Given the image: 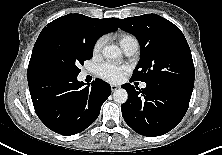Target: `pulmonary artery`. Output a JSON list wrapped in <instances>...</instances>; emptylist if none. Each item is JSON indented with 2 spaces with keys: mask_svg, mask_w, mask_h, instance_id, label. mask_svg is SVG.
Instances as JSON below:
<instances>
[{
  "mask_svg": "<svg viewBox=\"0 0 222 155\" xmlns=\"http://www.w3.org/2000/svg\"><path fill=\"white\" fill-rule=\"evenodd\" d=\"M123 50H124L126 55H129V56L133 55L138 50V43H136V42L130 43L127 46H125L123 48ZM141 87L145 88L146 87V83H142Z\"/></svg>",
  "mask_w": 222,
  "mask_h": 155,
  "instance_id": "1",
  "label": "pulmonary artery"
}]
</instances>
